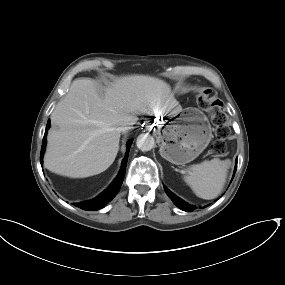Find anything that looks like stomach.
Instances as JSON below:
<instances>
[{"instance_id": "obj_1", "label": "stomach", "mask_w": 285, "mask_h": 285, "mask_svg": "<svg viewBox=\"0 0 285 285\" xmlns=\"http://www.w3.org/2000/svg\"><path fill=\"white\" fill-rule=\"evenodd\" d=\"M156 133L160 139V155L175 165L193 161L212 139L211 126L206 115L196 108L157 121Z\"/></svg>"}]
</instances>
